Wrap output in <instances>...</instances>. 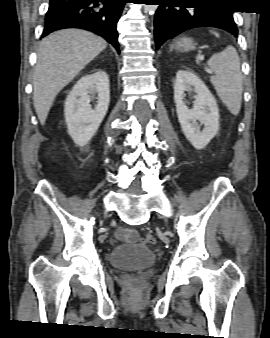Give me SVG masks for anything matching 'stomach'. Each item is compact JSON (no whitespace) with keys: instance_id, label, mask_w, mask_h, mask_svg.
I'll use <instances>...</instances> for the list:
<instances>
[{"instance_id":"0dacf381","label":"stomach","mask_w":270,"mask_h":338,"mask_svg":"<svg viewBox=\"0 0 270 338\" xmlns=\"http://www.w3.org/2000/svg\"><path fill=\"white\" fill-rule=\"evenodd\" d=\"M196 47L195 41L190 37H181L177 39L172 45L171 50L175 49L177 51H192Z\"/></svg>"}]
</instances>
